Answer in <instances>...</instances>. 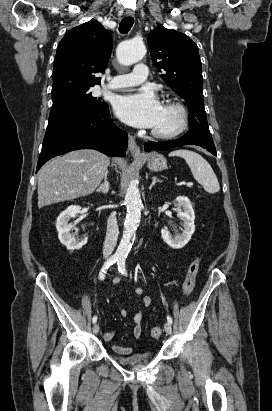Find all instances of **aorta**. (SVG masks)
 Instances as JSON below:
<instances>
[{"label":"aorta","mask_w":272,"mask_h":411,"mask_svg":"<svg viewBox=\"0 0 272 411\" xmlns=\"http://www.w3.org/2000/svg\"><path fill=\"white\" fill-rule=\"evenodd\" d=\"M146 54V47L142 41L129 40L121 43L116 51L117 59L122 65H131L140 61ZM125 204L127 207L126 219L124 222L123 236L115 252L117 261H125L131 250L133 236L137 230L140 219L142 201L140 191L135 183H131L125 193Z\"/></svg>","instance_id":"aorta-1"}]
</instances>
